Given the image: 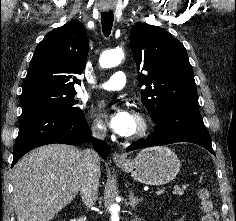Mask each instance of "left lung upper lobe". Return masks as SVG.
Here are the masks:
<instances>
[{
    "label": "left lung upper lobe",
    "mask_w": 236,
    "mask_h": 221,
    "mask_svg": "<svg viewBox=\"0 0 236 221\" xmlns=\"http://www.w3.org/2000/svg\"><path fill=\"white\" fill-rule=\"evenodd\" d=\"M130 45L139 74L142 101L157 123L172 107L199 109L192 67L183 44L166 30L145 23L136 24Z\"/></svg>",
    "instance_id": "1"
}]
</instances>
